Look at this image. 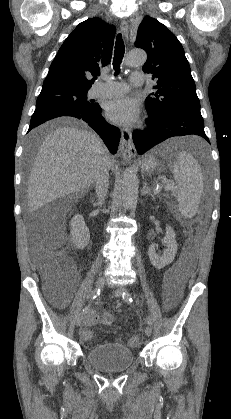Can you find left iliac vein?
<instances>
[{"label":"left iliac vein","mask_w":231,"mask_h":419,"mask_svg":"<svg viewBox=\"0 0 231 419\" xmlns=\"http://www.w3.org/2000/svg\"><path fill=\"white\" fill-rule=\"evenodd\" d=\"M123 291H124V286H122V285L116 286L114 288V294H115L116 297H121ZM145 334L147 336H151V334H152V328L150 326H146L145 327Z\"/></svg>","instance_id":"1"}]
</instances>
